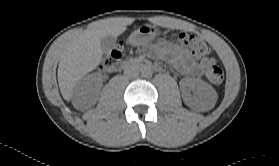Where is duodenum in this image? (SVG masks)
I'll use <instances>...</instances> for the list:
<instances>
[{"label": "duodenum", "mask_w": 279, "mask_h": 166, "mask_svg": "<svg viewBox=\"0 0 279 166\" xmlns=\"http://www.w3.org/2000/svg\"><path fill=\"white\" fill-rule=\"evenodd\" d=\"M129 65H133V66L139 67L141 69H153L154 68L152 65H150V64H148L144 61H136V62H133V63H128V62H125V61H119L112 66V71H114V72L122 71L126 67H128Z\"/></svg>", "instance_id": "duodenum-1"}]
</instances>
